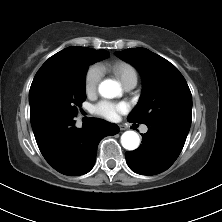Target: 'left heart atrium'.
I'll list each match as a JSON object with an SVG mask.
<instances>
[{
  "label": "left heart atrium",
  "mask_w": 222,
  "mask_h": 222,
  "mask_svg": "<svg viewBox=\"0 0 222 222\" xmlns=\"http://www.w3.org/2000/svg\"><path fill=\"white\" fill-rule=\"evenodd\" d=\"M128 109L126 102L116 103L108 100H103L94 107L96 114L109 120H116L119 114L127 112Z\"/></svg>",
  "instance_id": "39dd6f15"
}]
</instances>
